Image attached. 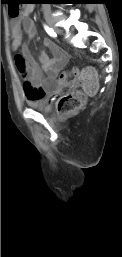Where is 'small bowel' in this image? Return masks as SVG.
Instances as JSON below:
<instances>
[{
	"instance_id": "obj_1",
	"label": "small bowel",
	"mask_w": 122,
	"mask_h": 257,
	"mask_svg": "<svg viewBox=\"0 0 122 257\" xmlns=\"http://www.w3.org/2000/svg\"><path fill=\"white\" fill-rule=\"evenodd\" d=\"M32 11L33 6L26 5L10 22L12 50L21 48V52H13V59L18 73L24 79L23 91L27 101L42 99L57 89L59 84H55V79L57 74H62L60 71L68 59L66 52L50 39H45L43 42L50 54L41 52L38 56L40 63L33 58L29 43L23 41V32L29 39L34 38L37 33L35 24L30 18Z\"/></svg>"
}]
</instances>
